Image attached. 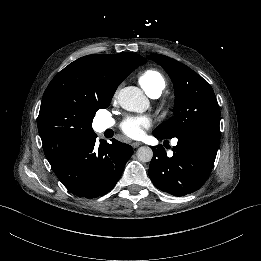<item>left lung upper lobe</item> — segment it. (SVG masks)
<instances>
[{"mask_svg":"<svg viewBox=\"0 0 261 261\" xmlns=\"http://www.w3.org/2000/svg\"><path fill=\"white\" fill-rule=\"evenodd\" d=\"M170 76L174 91V116L160 124L153 133L170 139L193 129L219 133L220 109L212 87L196 72L170 57L152 54Z\"/></svg>","mask_w":261,"mask_h":261,"instance_id":"1","label":"left lung upper lobe"}]
</instances>
